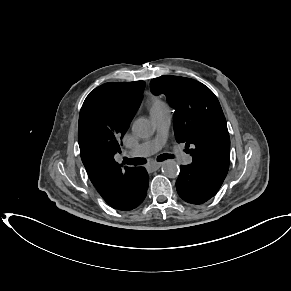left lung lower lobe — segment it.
Listing matches in <instances>:
<instances>
[{
  "label": "left lung lower lobe",
  "instance_id": "obj_1",
  "mask_svg": "<svg viewBox=\"0 0 291 291\" xmlns=\"http://www.w3.org/2000/svg\"><path fill=\"white\" fill-rule=\"evenodd\" d=\"M176 181L179 196L191 204H202L211 199L224 180L216 178L193 164L181 165Z\"/></svg>",
  "mask_w": 291,
  "mask_h": 291
}]
</instances>
